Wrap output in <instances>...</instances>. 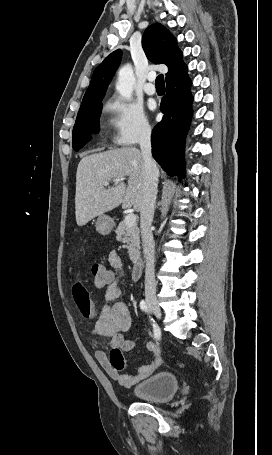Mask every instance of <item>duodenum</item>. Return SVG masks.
Masks as SVG:
<instances>
[{
	"label": "duodenum",
	"mask_w": 272,
	"mask_h": 455,
	"mask_svg": "<svg viewBox=\"0 0 272 455\" xmlns=\"http://www.w3.org/2000/svg\"><path fill=\"white\" fill-rule=\"evenodd\" d=\"M143 270V259L141 257H137L134 261L133 268H132V279L138 280L141 277Z\"/></svg>",
	"instance_id": "obj_1"
}]
</instances>
